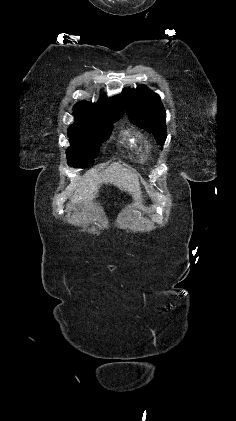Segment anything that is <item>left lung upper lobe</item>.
Segmentation results:
<instances>
[{"label":"left lung upper lobe","mask_w":236,"mask_h":421,"mask_svg":"<svg viewBox=\"0 0 236 421\" xmlns=\"http://www.w3.org/2000/svg\"><path fill=\"white\" fill-rule=\"evenodd\" d=\"M126 112L130 121L138 127L153 133L157 143L163 146L167 137L166 112L158 94L140 85L136 89H124Z\"/></svg>","instance_id":"1"}]
</instances>
